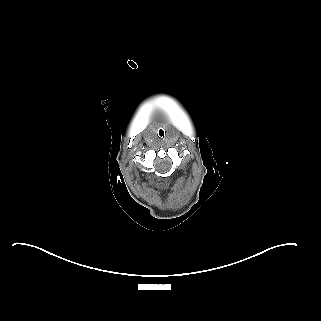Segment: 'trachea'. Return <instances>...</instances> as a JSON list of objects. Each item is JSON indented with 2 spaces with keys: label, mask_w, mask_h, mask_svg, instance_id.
Returning <instances> with one entry per match:
<instances>
[{
  "label": "trachea",
  "mask_w": 321,
  "mask_h": 321,
  "mask_svg": "<svg viewBox=\"0 0 321 321\" xmlns=\"http://www.w3.org/2000/svg\"><path fill=\"white\" fill-rule=\"evenodd\" d=\"M160 132L158 133V136L160 137V138H163L165 135H166V132L160 127L159 129H158Z\"/></svg>",
  "instance_id": "1"
}]
</instances>
